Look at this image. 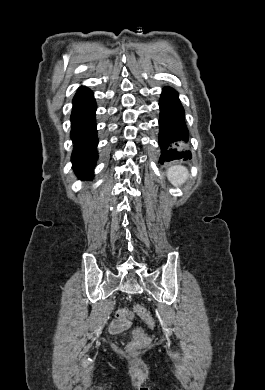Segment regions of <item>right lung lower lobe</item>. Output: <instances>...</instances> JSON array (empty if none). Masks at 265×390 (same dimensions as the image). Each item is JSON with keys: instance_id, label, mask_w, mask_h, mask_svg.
<instances>
[{"instance_id": "98d812e1", "label": "right lung lower lobe", "mask_w": 265, "mask_h": 390, "mask_svg": "<svg viewBox=\"0 0 265 390\" xmlns=\"http://www.w3.org/2000/svg\"><path fill=\"white\" fill-rule=\"evenodd\" d=\"M95 112L96 102L93 92L86 87H80L73 98L71 139L74 143L73 169L81 178L93 177L97 160Z\"/></svg>"}]
</instances>
